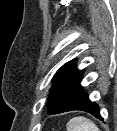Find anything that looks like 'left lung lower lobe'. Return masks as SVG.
I'll return each instance as SVG.
<instances>
[{
	"label": "left lung lower lobe",
	"instance_id": "0a47b994",
	"mask_svg": "<svg viewBox=\"0 0 117 131\" xmlns=\"http://www.w3.org/2000/svg\"><path fill=\"white\" fill-rule=\"evenodd\" d=\"M74 97L72 103L65 108V111L81 110L86 111L96 118L101 119L99 106L95 102H91L88 95L84 93L83 89L73 92Z\"/></svg>",
	"mask_w": 117,
	"mask_h": 131
}]
</instances>
